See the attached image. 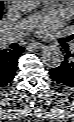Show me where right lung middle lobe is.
<instances>
[{"label": "right lung middle lobe", "instance_id": "dd1d6c3e", "mask_svg": "<svg viewBox=\"0 0 74 122\" xmlns=\"http://www.w3.org/2000/svg\"><path fill=\"white\" fill-rule=\"evenodd\" d=\"M3 2H0V15L2 14Z\"/></svg>", "mask_w": 74, "mask_h": 122}]
</instances>
